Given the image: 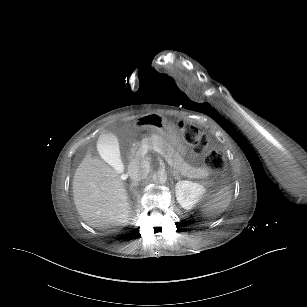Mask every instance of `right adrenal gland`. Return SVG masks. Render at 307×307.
<instances>
[{"mask_svg":"<svg viewBox=\"0 0 307 307\" xmlns=\"http://www.w3.org/2000/svg\"><path fill=\"white\" fill-rule=\"evenodd\" d=\"M137 184L136 183H132L131 187H130V190L132 191L133 188L136 186Z\"/></svg>","mask_w":307,"mask_h":307,"instance_id":"right-adrenal-gland-1","label":"right adrenal gland"}]
</instances>
